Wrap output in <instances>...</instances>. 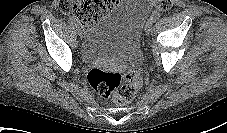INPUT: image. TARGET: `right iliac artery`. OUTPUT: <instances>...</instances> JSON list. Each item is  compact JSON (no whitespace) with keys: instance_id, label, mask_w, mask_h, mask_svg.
Instances as JSON below:
<instances>
[{"instance_id":"1","label":"right iliac artery","mask_w":227,"mask_h":133,"mask_svg":"<svg viewBox=\"0 0 227 133\" xmlns=\"http://www.w3.org/2000/svg\"><path fill=\"white\" fill-rule=\"evenodd\" d=\"M68 22L71 24V25H77L76 23V20L74 18H69Z\"/></svg>"}]
</instances>
